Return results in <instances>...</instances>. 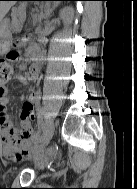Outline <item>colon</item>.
<instances>
[{
	"mask_svg": "<svg viewBox=\"0 0 137 189\" xmlns=\"http://www.w3.org/2000/svg\"><path fill=\"white\" fill-rule=\"evenodd\" d=\"M18 59V53L12 51L6 58L0 59V87L7 83L13 75V62ZM55 155L54 152H50Z\"/></svg>",
	"mask_w": 137,
	"mask_h": 189,
	"instance_id": "colon-1",
	"label": "colon"
}]
</instances>
